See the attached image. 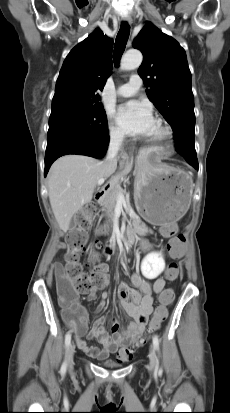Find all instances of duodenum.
<instances>
[{"label":"duodenum","instance_id":"1","mask_svg":"<svg viewBox=\"0 0 230 413\" xmlns=\"http://www.w3.org/2000/svg\"><path fill=\"white\" fill-rule=\"evenodd\" d=\"M108 192V187H103L100 190L97 191L96 195H95V199L97 201H102L106 194ZM121 241H124L128 244H132L135 241V232L133 230H128L127 233L124 236H119L118 237ZM112 249H113V243L111 241H108L105 245V253L106 255H109L112 253Z\"/></svg>","mask_w":230,"mask_h":413}]
</instances>
